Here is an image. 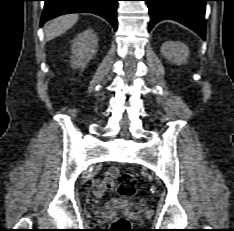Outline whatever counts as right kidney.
<instances>
[{
  "mask_svg": "<svg viewBox=\"0 0 234 231\" xmlns=\"http://www.w3.org/2000/svg\"><path fill=\"white\" fill-rule=\"evenodd\" d=\"M97 36L92 29L80 33L72 45L71 65L74 68L84 69L87 63L95 55L97 48Z\"/></svg>",
  "mask_w": 234,
  "mask_h": 231,
  "instance_id": "obj_1",
  "label": "right kidney"
}]
</instances>
